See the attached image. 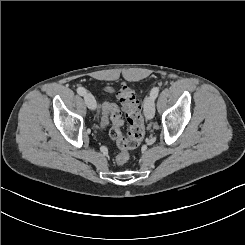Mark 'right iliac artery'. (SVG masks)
I'll use <instances>...</instances> for the list:
<instances>
[{
	"instance_id": "right-iliac-artery-1",
	"label": "right iliac artery",
	"mask_w": 245,
	"mask_h": 245,
	"mask_svg": "<svg viewBox=\"0 0 245 245\" xmlns=\"http://www.w3.org/2000/svg\"><path fill=\"white\" fill-rule=\"evenodd\" d=\"M77 93H78L79 95L83 96V95L86 94V90H85V88H83V87H79V88L77 89Z\"/></svg>"
}]
</instances>
